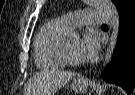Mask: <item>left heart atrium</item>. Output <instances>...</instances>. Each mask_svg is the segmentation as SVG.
Here are the masks:
<instances>
[{"mask_svg": "<svg viewBox=\"0 0 135 95\" xmlns=\"http://www.w3.org/2000/svg\"><path fill=\"white\" fill-rule=\"evenodd\" d=\"M99 41L92 32L85 33L78 42L77 56L81 61H90L98 53Z\"/></svg>", "mask_w": 135, "mask_h": 95, "instance_id": "left-heart-atrium-1", "label": "left heart atrium"}]
</instances>
